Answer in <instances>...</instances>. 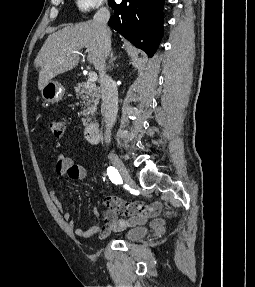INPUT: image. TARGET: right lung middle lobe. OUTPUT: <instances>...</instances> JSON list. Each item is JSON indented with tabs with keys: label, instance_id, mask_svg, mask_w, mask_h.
Listing matches in <instances>:
<instances>
[{
	"label": "right lung middle lobe",
	"instance_id": "1",
	"mask_svg": "<svg viewBox=\"0 0 255 287\" xmlns=\"http://www.w3.org/2000/svg\"><path fill=\"white\" fill-rule=\"evenodd\" d=\"M109 2H110V5H113V4H114V1H113V0H110Z\"/></svg>",
	"mask_w": 255,
	"mask_h": 287
}]
</instances>
